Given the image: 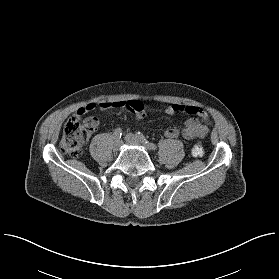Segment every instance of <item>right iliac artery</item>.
I'll list each match as a JSON object with an SVG mask.
<instances>
[{
  "instance_id": "82829eb1",
  "label": "right iliac artery",
  "mask_w": 279,
  "mask_h": 279,
  "mask_svg": "<svg viewBox=\"0 0 279 279\" xmlns=\"http://www.w3.org/2000/svg\"><path fill=\"white\" fill-rule=\"evenodd\" d=\"M114 139H115V141H117V140H120V138H121V135H122V129L121 128H117V129H115V131H114Z\"/></svg>"
}]
</instances>
